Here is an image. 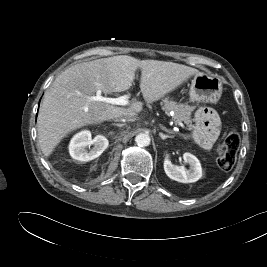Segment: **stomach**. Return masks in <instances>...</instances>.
Listing matches in <instances>:
<instances>
[{"label": "stomach", "mask_w": 267, "mask_h": 267, "mask_svg": "<svg viewBox=\"0 0 267 267\" xmlns=\"http://www.w3.org/2000/svg\"><path fill=\"white\" fill-rule=\"evenodd\" d=\"M222 81L216 75L201 73L195 75L190 87V101L216 103L222 95Z\"/></svg>", "instance_id": "0dacf381"}]
</instances>
